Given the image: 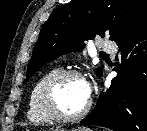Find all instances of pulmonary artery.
I'll use <instances>...</instances> for the list:
<instances>
[{
	"instance_id": "pulmonary-artery-1",
	"label": "pulmonary artery",
	"mask_w": 147,
	"mask_h": 131,
	"mask_svg": "<svg viewBox=\"0 0 147 131\" xmlns=\"http://www.w3.org/2000/svg\"><path fill=\"white\" fill-rule=\"evenodd\" d=\"M100 49L104 52L114 53L117 50V47L113 43L104 42L100 45Z\"/></svg>"
}]
</instances>
